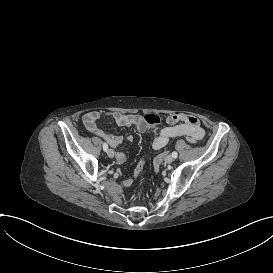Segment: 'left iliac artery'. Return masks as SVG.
Instances as JSON below:
<instances>
[{"mask_svg":"<svg viewBox=\"0 0 273 273\" xmlns=\"http://www.w3.org/2000/svg\"><path fill=\"white\" fill-rule=\"evenodd\" d=\"M177 156H178L177 152H175V151L172 152V157H173V158H177Z\"/></svg>","mask_w":273,"mask_h":273,"instance_id":"44dca946","label":"left iliac artery"}]
</instances>
